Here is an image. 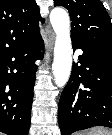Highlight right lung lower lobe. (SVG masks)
I'll return each mask as SVG.
<instances>
[{
	"instance_id": "1",
	"label": "right lung lower lobe",
	"mask_w": 112,
	"mask_h": 135,
	"mask_svg": "<svg viewBox=\"0 0 112 135\" xmlns=\"http://www.w3.org/2000/svg\"><path fill=\"white\" fill-rule=\"evenodd\" d=\"M43 46L39 34L0 57V132L28 135L36 61Z\"/></svg>"
}]
</instances>
